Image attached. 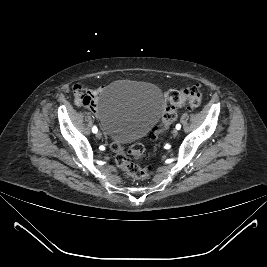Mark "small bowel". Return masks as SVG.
Wrapping results in <instances>:
<instances>
[{"label": "small bowel", "instance_id": "obj_1", "mask_svg": "<svg viewBox=\"0 0 267 267\" xmlns=\"http://www.w3.org/2000/svg\"><path fill=\"white\" fill-rule=\"evenodd\" d=\"M101 92L100 87L87 88L83 85H75L74 96L78 105L85 106L91 110L96 109V98Z\"/></svg>", "mask_w": 267, "mask_h": 267}]
</instances>
